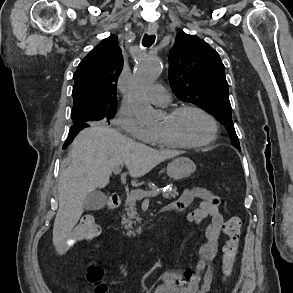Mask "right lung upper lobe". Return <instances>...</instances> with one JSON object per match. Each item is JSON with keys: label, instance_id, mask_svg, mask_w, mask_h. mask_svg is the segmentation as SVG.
I'll list each match as a JSON object with an SVG mask.
<instances>
[{"label": "right lung upper lobe", "instance_id": "obj_1", "mask_svg": "<svg viewBox=\"0 0 293 293\" xmlns=\"http://www.w3.org/2000/svg\"><path fill=\"white\" fill-rule=\"evenodd\" d=\"M123 58L115 35L102 40L78 65L73 76V106L76 108H116V82Z\"/></svg>", "mask_w": 293, "mask_h": 293}]
</instances>
